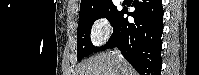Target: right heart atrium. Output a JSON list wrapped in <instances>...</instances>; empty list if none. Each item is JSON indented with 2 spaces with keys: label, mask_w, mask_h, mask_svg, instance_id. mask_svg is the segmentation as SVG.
<instances>
[{
  "label": "right heart atrium",
  "mask_w": 199,
  "mask_h": 75,
  "mask_svg": "<svg viewBox=\"0 0 199 75\" xmlns=\"http://www.w3.org/2000/svg\"><path fill=\"white\" fill-rule=\"evenodd\" d=\"M111 33L110 23L106 18H97L90 27L89 37L94 46L104 43Z\"/></svg>",
  "instance_id": "right-heart-atrium-1"
}]
</instances>
